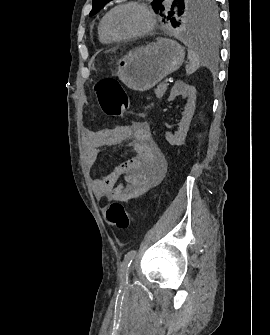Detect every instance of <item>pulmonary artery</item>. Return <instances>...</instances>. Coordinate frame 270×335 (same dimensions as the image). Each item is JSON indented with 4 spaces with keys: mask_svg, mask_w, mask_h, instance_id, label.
<instances>
[{
    "mask_svg": "<svg viewBox=\"0 0 270 335\" xmlns=\"http://www.w3.org/2000/svg\"><path fill=\"white\" fill-rule=\"evenodd\" d=\"M171 2H172V0H165V3H166L167 5H170Z\"/></svg>",
    "mask_w": 270,
    "mask_h": 335,
    "instance_id": "obj_1",
    "label": "pulmonary artery"
}]
</instances>
